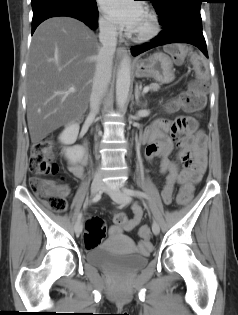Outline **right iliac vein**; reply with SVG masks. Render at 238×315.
Returning a JSON list of instances; mask_svg holds the SVG:
<instances>
[{
	"instance_id": "obj_1",
	"label": "right iliac vein",
	"mask_w": 238,
	"mask_h": 315,
	"mask_svg": "<svg viewBox=\"0 0 238 315\" xmlns=\"http://www.w3.org/2000/svg\"><path fill=\"white\" fill-rule=\"evenodd\" d=\"M102 187H103L102 181L100 179H95L91 183V192L93 194L98 193L100 189H102ZM82 229H83V225L81 221L77 222L75 225V233L79 235L82 232Z\"/></svg>"
}]
</instances>
